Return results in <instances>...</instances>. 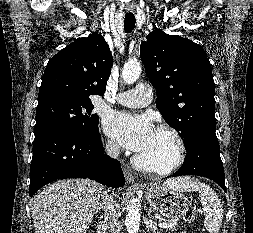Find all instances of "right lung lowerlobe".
<instances>
[{
    "label": "right lung lower lobe",
    "instance_id": "obj_1",
    "mask_svg": "<svg viewBox=\"0 0 253 233\" xmlns=\"http://www.w3.org/2000/svg\"><path fill=\"white\" fill-rule=\"evenodd\" d=\"M66 178L94 179L110 187L125 184L120 162L104 154L99 131L81 136L64 129L39 130L33 144L29 195Z\"/></svg>",
    "mask_w": 253,
    "mask_h": 233
}]
</instances>
